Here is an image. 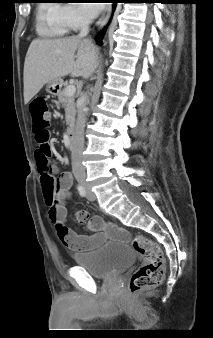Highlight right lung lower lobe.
I'll return each instance as SVG.
<instances>
[{"mask_svg":"<svg viewBox=\"0 0 213 338\" xmlns=\"http://www.w3.org/2000/svg\"><path fill=\"white\" fill-rule=\"evenodd\" d=\"M113 2L112 3H114V8H115V6H116V3L119 1V0H112ZM106 29V28H105ZM105 29H104V31L97 37V41L100 43V44H102V38H103V35H104V32H105Z\"/></svg>","mask_w":213,"mask_h":338,"instance_id":"obj_1","label":"right lung lower lobe"}]
</instances>
